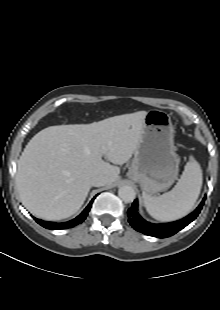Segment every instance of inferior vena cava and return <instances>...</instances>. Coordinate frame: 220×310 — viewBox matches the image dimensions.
<instances>
[{"instance_id":"602c4592","label":"inferior vena cava","mask_w":220,"mask_h":310,"mask_svg":"<svg viewBox=\"0 0 220 310\" xmlns=\"http://www.w3.org/2000/svg\"><path fill=\"white\" fill-rule=\"evenodd\" d=\"M107 182H108L107 177L101 174L95 175L91 179V184L92 186H95V187L104 186L107 184Z\"/></svg>"}]
</instances>
